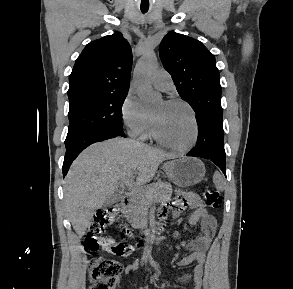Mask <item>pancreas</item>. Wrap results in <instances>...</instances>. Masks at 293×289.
<instances>
[{"instance_id":"1","label":"pancreas","mask_w":293,"mask_h":289,"mask_svg":"<svg viewBox=\"0 0 293 289\" xmlns=\"http://www.w3.org/2000/svg\"><path fill=\"white\" fill-rule=\"evenodd\" d=\"M172 195V186L167 182L150 185L144 192L133 194L125 213L135 228H144L148 223V208L154 196L159 200H167Z\"/></svg>"}]
</instances>
